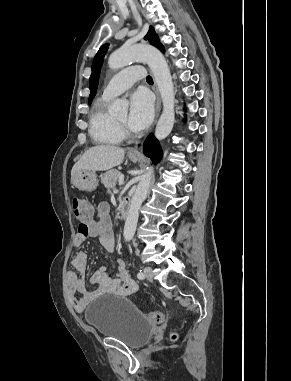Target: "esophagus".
Returning a JSON list of instances; mask_svg holds the SVG:
<instances>
[{"mask_svg":"<svg viewBox=\"0 0 291 381\" xmlns=\"http://www.w3.org/2000/svg\"><path fill=\"white\" fill-rule=\"evenodd\" d=\"M153 89H154L155 94H156V117H155V122H156L157 118L160 114V110H161V98H160V94H159V91H158V88H157L155 81H154ZM129 153L136 154V155L140 154L139 150L136 147L130 148Z\"/></svg>","mask_w":291,"mask_h":381,"instance_id":"esophagus-1","label":"esophagus"}]
</instances>
